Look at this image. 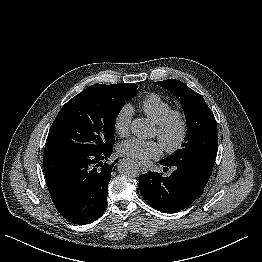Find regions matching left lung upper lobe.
<instances>
[{"instance_id": "1", "label": "left lung upper lobe", "mask_w": 262, "mask_h": 262, "mask_svg": "<svg viewBox=\"0 0 262 262\" xmlns=\"http://www.w3.org/2000/svg\"><path fill=\"white\" fill-rule=\"evenodd\" d=\"M155 84L180 98L187 122V133L182 149L164 161L170 164L180 161L214 163L218 150L217 124L204 98L176 79L159 81Z\"/></svg>"}]
</instances>
